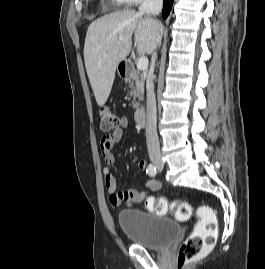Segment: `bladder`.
<instances>
[{"label": "bladder", "mask_w": 265, "mask_h": 269, "mask_svg": "<svg viewBox=\"0 0 265 269\" xmlns=\"http://www.w3.org/2000/svg\"><path fill=\"white\" fill-rule=\"evenodd\" d=\"M118 225L132 243L150 250H163L179 236L175 221L139 209H124L118 214Z\"/></svg>", "instance_id": "bladder-1"}]
</instances>
